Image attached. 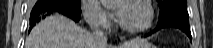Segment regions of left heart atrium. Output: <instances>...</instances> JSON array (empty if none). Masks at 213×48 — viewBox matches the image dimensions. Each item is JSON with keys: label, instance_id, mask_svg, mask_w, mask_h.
Listing matches in <instances>:
<instances>
[{"label": "left heart atrium", "instance_id": "39dd6f15", "mask_svg": "<svg viewBox=\"0 0 213 48\" xmlns=\"http://www.w3.org/2000/svg\"><path fill=\"white\" fill-rule=\"evenodd\" d=\"M117 15H118L119 17L121 16V10H120V9L117 11Z\"/></svg>", "mask_w": 213, "mask_h": 48}]
</instances>
